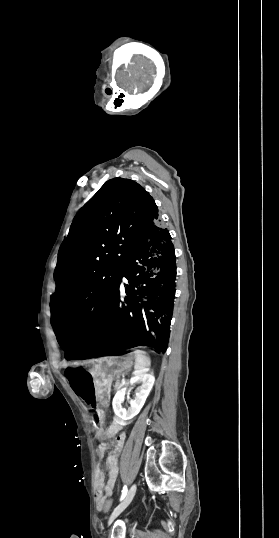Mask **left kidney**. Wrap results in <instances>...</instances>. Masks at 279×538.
I'll return each mask as SVG.
<instances>
[{
  "label": "left kidney",
  "instance_id": "left-kidney-1",
  "mask_svg": "<svg viewBox=\"0 0 279 538\" xmlns=\"http://www.w3.org/2000/svg\"><path fill=\"white\" fill-rule=\"evenodd\" d=\"M133 374L134 376L130 380L131 386H133V384H136V382H141V386L140 388H137L135 392V400H130V408H128V410L122 408V402H124L125 392L127 388H121V390H118L112 402L113 410L116 416H118V418H122V420H132L134 416H137V414H139L155 382L153 374H148V370H135Z\"/></svg>",
  "mask_w": 279,
  "mask_h": 538
}]
</instances>
